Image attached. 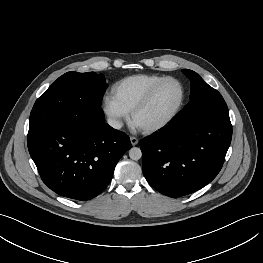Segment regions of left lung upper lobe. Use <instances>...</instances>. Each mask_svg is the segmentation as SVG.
I'll return each mask as SVG.
<instances>
[{"label": "left lung upper lobe", "instance_id": "1", "mask_svg": "<svg viewBox=\"0 0 263 263\" xmlns=\"http://www.w3.org/2000/svg\"><path fill=\"white\" fill-rule=\"evenodd\" d=\"M191 82L190 102L173 120L181 130L188 129L204 120L229 117L227 105L221 94L209 86L196 72L182 70Z\"/></svg>", "mask_w": 263, "mask_h": 263}]
</instances>
